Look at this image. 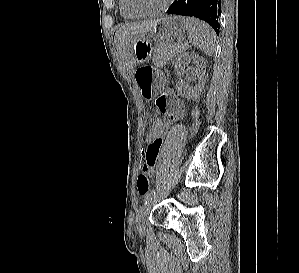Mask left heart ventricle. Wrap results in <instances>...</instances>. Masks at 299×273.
Masks as SVG:
<instances>
[{"instance_id": "b2bd125f", "label": "left heart ventricle", "mask_w": 299, "mask_h": 273, "mask_svg": "<svg viewBox=\"0 0 299 273\" xmlns=\"http://www.w3.org/2000/svg\"><path fill=\"white\" fill-rule=\"evenodd\" d=\"M164 0H129L130 5L138 11H149L159 7Z\"/></svg>"}]
</instances>
